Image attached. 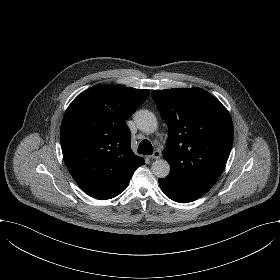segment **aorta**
Wrapping results in <instances>:
<instances>
[{"mask_svg": "<svg viewBox=\"0 0 280 280\" xmlns=\"http://www.w3.org/2000/svg\"><path fill=\"white\" fill-rule=\"evenodd\" d=\"M135 122L144 133H155L158 128V120L154 113L149 110H140L135 113ZM152 173L158 178H165L170 173V165L165 159H157L151 167Z\"/></svg>", "mask_w": 280, "mask_h": 280, "instance_id": "1", "label": "aorta"}]
</instances>
